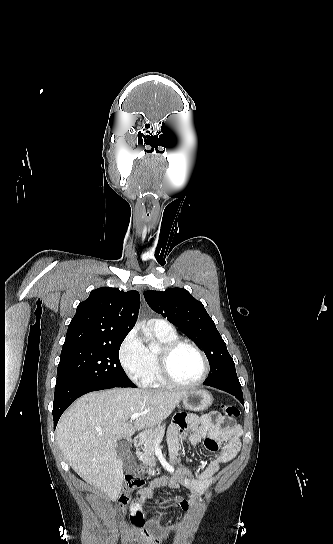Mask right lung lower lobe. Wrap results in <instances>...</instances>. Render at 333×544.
Returning <instances> with one entry per match:
<instances>
[{
	"instance_id": "right-lung-lower-lobe-1",
	"label": "right lung lower lobe",
	"mask_w": 333,
	"mask_h": 544,
	"mask_svg": "<svg viewBox=\"0 0 333 544\" xmlns=\"http://www.w3.org/2000/svg\"><path fill=\"white\" fill-rule=\"evenodd\" d=\"M120 386L114 385H100V384H84L78 381H57L55 386L54 404H53V419L54 429L58 423V420L67 407L78 397L92 392L103 389H110Z\"/></svg>"
}]
</instances>
